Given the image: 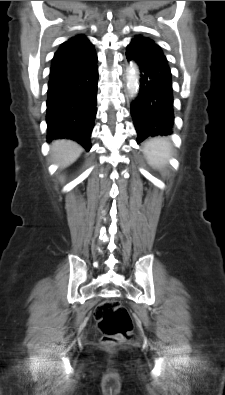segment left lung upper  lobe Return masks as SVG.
<instances>
[{
    "label": "left lung upper lobe",
    "mask_w": 225,
    "mask_h": 395,
    "mask_svg": "<svg viewBox=\"0 0 225 395\" xmlns=\"http://www.w3.org/2000/svg\"><path fill=\"white\" fill-rule=\"evenodd\" d=\"M127 50L140 62L157 61L167 63V59L152 39L137 35L127 46Z\"/></svg>",
    "instance_id": "obj_1"
}]
</instances>
